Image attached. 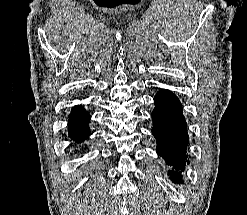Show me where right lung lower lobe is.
Listing matches in <instances>:
<instances>
[{
    "mask_svg": "<svg viewBox=\"0 0 247 215\" xmlns=\"http://www.w3.org/2000/svg\"><path fill=\"white\" fill-rule=\"evenodd\" d=\"M90 118V115L81 106H77L73 109L69 115L68 125L71 139L81 142L89 136L88 122Z\"/></svg>",
    "mask_w": 247,
    "mask_h": 215,
    "instance_id": "obj_1",
    "label": "right lung lower lobe"
}]
</instances>
